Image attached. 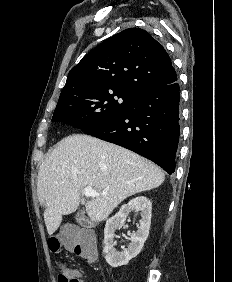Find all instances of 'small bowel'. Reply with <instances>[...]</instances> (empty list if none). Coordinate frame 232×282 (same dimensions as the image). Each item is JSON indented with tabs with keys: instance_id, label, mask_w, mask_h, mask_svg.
Listing matches in <instances>:
<instances>
[{
	"instance_id": "small-bowel-1",
	"label": "small bowel",
	"mask_w": 232,
	"mask_h": 282,
	"mask_svg": "<svg viewBox=\"0 0 232 282\" xmlns=\"http://www.w3.org/2000/svg\"><path fill=\"white\" fill-rule=\"evenodd\" d=\"M72 272H73L74 275H76L79 278V274L76 271L72 270ZM80 282H86V281L80 279Z\"/></svg>"
}]
</instances>
